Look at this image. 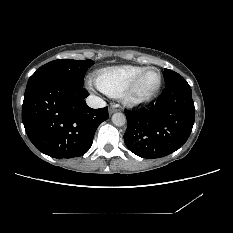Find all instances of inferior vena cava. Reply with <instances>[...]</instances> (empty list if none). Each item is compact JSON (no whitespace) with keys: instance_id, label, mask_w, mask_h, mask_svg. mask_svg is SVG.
<instances>
[{"instance_id":"obj_1","label":"inferior vena cava","mask_w":233,"mask_h":233,"mask_svg":"<svg viewBox=\"0 0 233 233\" xmlns=\"http://www.w3.org/2000/svg\"><path fill=\"white\" fill-rule=\"evenodd\" d=\"M86 102L91 108H102L106 106V102L103 99L94 95L88 96Z\"/></svg>"}]
</instances>
